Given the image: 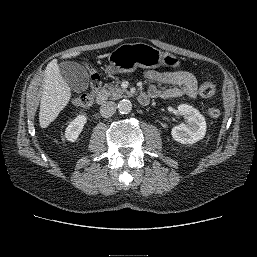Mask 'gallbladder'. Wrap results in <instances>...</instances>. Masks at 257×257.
Here are the masks:
<instances>
[{
  "label": "gallbladder",
  "instance_id": "bac80fb5",
  "mask_svg": "<svg viewBox=\"0 0 257 257\" xmlns=\"http://www.w3.org/2000/svg\"><path fill=\"white\" fill-rule=\"evenodd\" d=\"M63 79L74 92L85 91L89 85V75L84 66L77 62L65 61L58 65Z\"/></svg>",
  "mask_w": 257,
  "mask_h": 257
}]
</instances>
